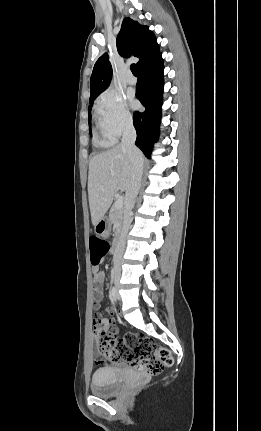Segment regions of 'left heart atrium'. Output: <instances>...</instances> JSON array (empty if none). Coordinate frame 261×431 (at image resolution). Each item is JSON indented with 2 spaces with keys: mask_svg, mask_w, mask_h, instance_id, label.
<instances>
[{
  "mask_svg": "<svg viewBox=\"0 0 261 431\" xmlns=\"http://www.w3.org/2000/svg\"><path fill=\"white\" fill-rule=\"evenodd\" d=\"M130 104H131L132 107L136 106V102H135V100H134V98L132 96L130 97Z\"/></svg>",
  "mask_w": 261,
  "mask_h": 431,
  "instance_id": "39dd6f15",
  "label": "left heart atrium"
}]
</instances>
